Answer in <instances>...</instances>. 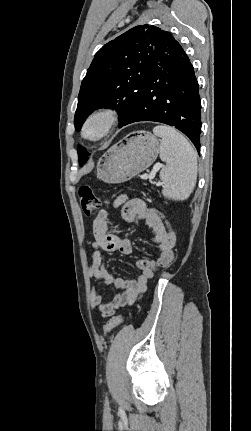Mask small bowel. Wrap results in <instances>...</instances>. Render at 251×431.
I'll return each mask as SVG.
<instances>
[{"instance_id":"small-bowel-1","label":"small bowel","mask_w":251,"mask_h":431,"mask_svg":"<svg viewBox=\"0 0 251 431\" xmlns=\"http://www.w3.org/2000/svg\"><path fill=\"white\" fill-rule=\"evenodd\" d=\"M114 207H121V217L124 221L144 220L153 231V242L158 247L155 260H141L136 264L139 274L135 279L115 277L105 266L104 252L119 251L128 255L132 253V245L128 238L109 233L107 227V211L102 209L94 219L92 230V260L88 269L91 278L98 284L112 285L119 290L114 297L104 301L102 295L93 288L91 306L98 309L102 317L114 314L118 309L133 305L145 292L148 281L157 271L168 266L174 258L176 235L170 223L162 213L150 208L139 198L128 199L118 197Z\"/></svg>"}]
</instances>
